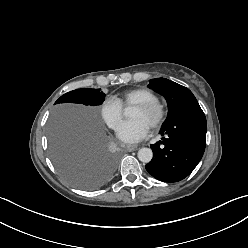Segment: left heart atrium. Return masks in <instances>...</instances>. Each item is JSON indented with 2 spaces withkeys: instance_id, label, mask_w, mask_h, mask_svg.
Returning <instances> with one entry per match:
<instances>
[{
  "instance_id": "obj_1",
  "label": "left heart atrium",
  "mask_w": 248,
  "mask_h": 248,
  "mask_svg": "<svg viewBox=\"0 0 248 248\" xmlns=\"http://www.w3.org/2000/svg\"><path fill=\"white\" fill-rule=\"evenodd\" d=\"M148 133V125L141 119H131L118 126L117 136L125 143H136Z\"/></svg>"
}]
</instances>
